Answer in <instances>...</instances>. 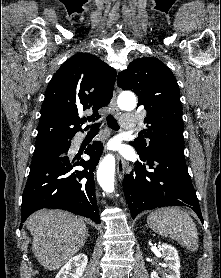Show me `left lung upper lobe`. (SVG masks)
Instances as JSON below:
<instances>
[{"mask_svg": "<svg viewBox=\"0 0 221 278\" xmlns=\"http://www.w3.org/2000/svg\"><path fill=\"white\" fill-rule=\"evenodd\" d=\"M118 86L132 90L138 96V106L147 111L144 136L131 145L141 156H148L163 147L184 149L182 106L176 78L169 68L156 58H138L118 74Z\"/></svg>", "mask_w": 221, "mask_h": 278, "instance_id": "1", "label": "left lung upper lobe"}]
</instances>
